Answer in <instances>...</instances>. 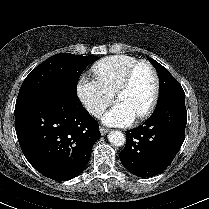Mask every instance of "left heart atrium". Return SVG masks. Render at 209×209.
I'll list each match as a JSON object with an SVG mask.
<instances>
[{"label":"left heart atrium","mask_w":209,"mask_h":209,"mask_svg":"<svg viewBox=\"0 0 209 209\" xmlns=\"http://www.w3.org/2000/svg\"><path fill=\"white\" fill-rule=\"evenodd\" d=\"M134 113L122 102L117 101L110 110L103 115V122L111 126H126L135 119Z\"/></svg>","instance_id":"obj_1"}]
</instances>
